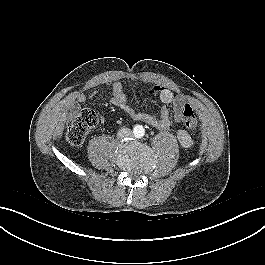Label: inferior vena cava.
I'll return each instance as SVG.
<instances>
[{
    "instance_id": "1",
    "label": "inferior vena cava",
    "mask_w": 265,
    "mask_h": 265,
    "mask_svg": "<svg viewBox=\"0 0 265 265\" xmlns=\"http://www.w3.org/2000/svg\"><path fill=\"white\" fill-rule=\"evenodd\" d=\"M133 133L131 129L128 128H122L118 131L117 137L120 139L126 138V137H132Z\"/></svg>"
}]
</instances>
